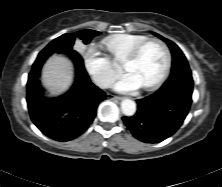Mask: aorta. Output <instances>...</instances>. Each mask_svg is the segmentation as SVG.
Wrapping results in <instances>:
<instances>
[{"mask_svg":"<svg viewBox=\"0 0 222 187\" xmlns=\"http://www.w3.org/2000/svg\"><path fill=\"white\" fill-rule=\"evenodd\" d=\"M121 110L126 116H133L136 112V104L131 99H124L121 102Z\"/></svg>","mask_w":222,"mask_h":187,"instance_id":"1","label":"aorta"}]
</instances>
